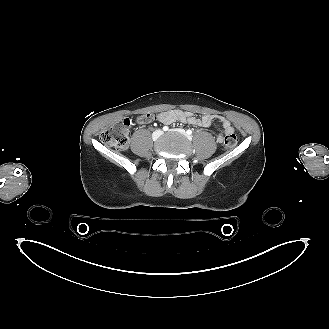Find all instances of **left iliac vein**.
Returning <instances> with one entry per match:
<instances>
[{"label":"left iliac vein","mask_w":329,"mask_h":329,"mask_svg":"<svg viewBox=\"0 0 329 329\" xmlns=\"http://www.w3.org/2000/svg\"><path fill=\"white\" fill-rule=\"evenodd\" d=\"M176 131L183 134V135H186V132L183 129H177Z\"/></svg>","instance_id":"obj_1"}]
</instances>
